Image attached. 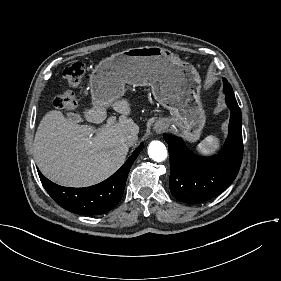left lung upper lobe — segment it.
Returning <instances> with one entry per match:
<instances>
[{
  "label": "left lung upper lobe",
  "instance_id": "obj_1",
  "mask_svg": "<svg viewBox=\"0 0 281 281\" xmlns=\"http://www.w3.org/2000/svg\"><path fill=\"white\" fill-rule=\"evenodd\" d=\"M223 82H224V93L227 95H234V92H233V89L230 85V83L225 79L223 78Z\"/></svg>",
  "mask_w": 281,
  "mask_h": 281
}]
</instances>
